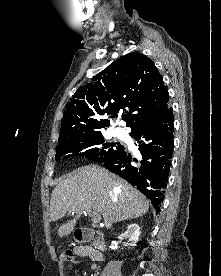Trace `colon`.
<instances>
[{
	"instance_id": "obj_1",
	"label": "colon",
	"mask_w": 221,
	"mask_h": 276,
	"mask_svg": "<svg viewBox=\"0 0 221 276\" xmlns=\"http://www.w3.org/2000/svg\"><path fill=\"white\" fill-rule=\"evenodd\" d=\"M60 259L64 262H71L73 261V252L71 250H67L65 252H63L60 255Z\"/></svg>"
}]
</instances>
